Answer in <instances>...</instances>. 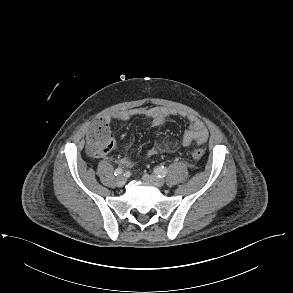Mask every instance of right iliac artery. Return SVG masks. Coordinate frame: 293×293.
<instances>
[{
  "mask_svg": "<svg viewBox=\"0 0 293 293\" xmlns=\"http://www.w3.org/2000/svg\"><path fill=\"white\" fill-rule=\"evenodd\" d=\"M123 173V169L122 168H117L115 171H114V175L115 176H119Z\"/></svg>",
  "mask_w": 293,
  "mask_h": 293,
  "instance_id": "1",
  "label": "right iliac artery"
}]
</instances>
